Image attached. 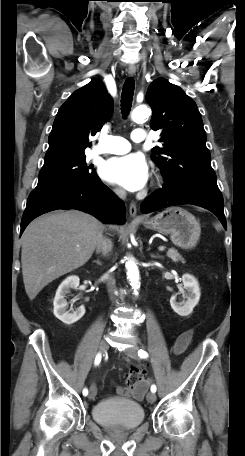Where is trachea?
<instances>
[{"mask_svg": "<svg viewBox=\"0 0 245 456\" xmlns=\"http://www.w3.org/2000/svg\"><path fill=\"white\" fill-rule=\"evenodd\" d=\"M135 83L133 78H129L125 81L121 94V109L122 114L126 117L131 109L133 95H134Z\"/></svg>", "mask_w": 245, "mask_h": 456, "instance_id": "3493384b", "label": "trachea"}]
</instances>
